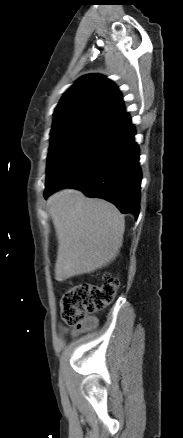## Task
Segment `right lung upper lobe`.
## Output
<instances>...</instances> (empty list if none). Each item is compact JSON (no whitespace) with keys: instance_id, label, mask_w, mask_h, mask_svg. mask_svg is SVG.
Segmentation results:
<instances>
[{"instance_id":"obj_1","label":"right lung upper lobe","mask_w":183,"mask_h":438,"mask_svg":"<svg viewBox=\"0 0 183 438\" xmlns=\"http://www.w3.org/2000/svg\"><path fill=\"white\" fill-rule=\"evenodd\" d=\"M123 114V100L114 83L102 75H86L65 92L55 108L51 133L75 127L99 129Z\"/></svg>"}]
</instances>
